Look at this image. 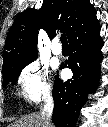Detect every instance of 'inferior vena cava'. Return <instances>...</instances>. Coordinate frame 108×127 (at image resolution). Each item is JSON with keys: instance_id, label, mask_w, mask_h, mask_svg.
Segmentation results:
<instances>
[{"instance_id": "obj_1", "label": "inferior vena cava", "mask_w": 108, "mask_h": 127, "mask_svg": "<svg viewBox=\"0 0 108 127\" xmlns=\"http://www.w3.org/2000/svg\"><path fill=\"white\" fill-rule=\"evenodd\" d=\"M53 108H54L53 98L50 94H47L45 97V104L41 109V115L43 116L45 120L46 127L53 126L51 123Z\"/></svg>"}]
</instances>
